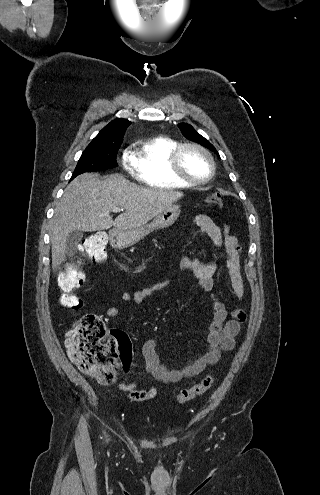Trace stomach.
Returning a JSON list of instances; mask_svg holds the SVG:
<instances>
[{"mask_svg":"<svg viewBox=\"0 0 320 495\" xmlns=\"http://www.w3.org/2000/svg\"><path fill=\"white\" fill-rule=\"evenodd\" d=\"M180 214V206L170 205L159 213L154 220L136 229L113 231L110 235L112 245L118 248L132 246L151 232L165 229L174 224Z\"/></svg>","mask_w":320,"mask_h":495,"instance_id":"stomach-1","label":"stomach"}]
</instances>
